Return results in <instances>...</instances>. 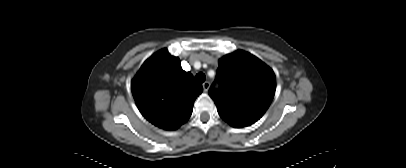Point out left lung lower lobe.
I'll return each mask as SVG.
<instances>
[{"mask_svg": "<svg viewBox=\"0 0 406 168\" xmlns=\"http://www.w3.org/2000/svg\"><path fill=\"white\" fill-rule=\"evenodd\" d=\"M226 122H228L231 126H233V127H245V126H249V124H246V123H242V122H235V121H227V120H225Z\"/></svg>", "mask_w": 406, "mask_h": 168, "instance_id": "0a47b994", "label": "left lung lower lobe"}]
</instances>
